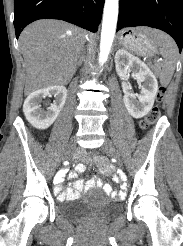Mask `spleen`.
<instances>
[{
    "label": "spleen",
    "instance_id": "3e777b00",
    "mask_svg": "<svg viewBox=\"0 0 183 246\" xmlns=\"http://www.w3.org/2000/svg\"><path fill=\"white\" fill-rule=\"evenodd\" d=\"M148 35L159 46L160 53L164 58L159 77L161 84L166 86L170 82L175 70L178 48L173 39L162 31L149 29Z\"/></svg>",
    "mask_w": 183,
    "mask_h": 246
}]
</instances>
